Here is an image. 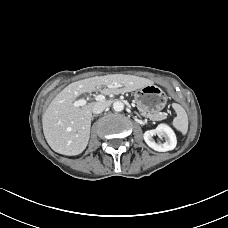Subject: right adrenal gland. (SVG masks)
<instances>
[{
    "mask_svg": "<svg viewBox=\"0 0 228 228\" xmlns=\"http://www.w3.org/2000/svg\"><path fill=\"white\" fill-rule=\"evenodd\" d=\"M97 116H98V115L94 114V115L92 116V118H91V119L93 120V119H94V117H97Z\"/></svg>",
    "mask_w": 228,
    "mask_h": 228,
    "instance_id": "2a0ac1e0",
    "label": "right adrenal gland"
}]
</instances>
